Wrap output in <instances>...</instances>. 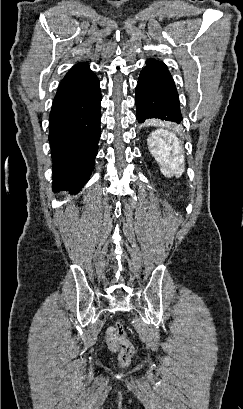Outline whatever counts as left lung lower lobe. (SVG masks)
<instances>
[{
	"mask_svg": "<svg viewBox=\"0 0 243 409\" xmlns=\"http://www.w3.org/2000/svg\"><path fill=\"white\" fill-rule=\"evenodd\" d=\"M136 117L139 123L158 118L182 121L176 86L167 66L156 59L146 61L136 86Z\"/></svg>",
	"mask_w": 243,
	"mask_h": 409,
	"instance_id": "0a47b994",
	"label": "left lung lower lobe"
}]
</instances>
